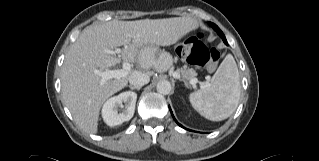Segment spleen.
Masks as SVG:
<instances>
[{"instance_id": "3e777b00", "label": "spleen", "mask_w": 319, "mask_h": 161, "mask_svg": "<svg viewBox=\"0 0 319 161\" xmlns=\"http://www.w3.org/2000/svg\"><path fill=\"white\" fill-rule=\"evenodd\" d=\"M241 93L239 73L231 54L226 55L211 82L191 93L193 108L211 121L228 118L237 108Z\"/></svg>"}]
</instances>
